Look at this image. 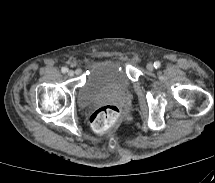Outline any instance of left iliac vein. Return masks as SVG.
I'll list each match as a JSON object with an SVG mask.
<instances>
[{
    "instance_id": "left-iliac-vein-1",
    "label": "left iliac vein",
    "mask_w": 215,
    "mask_h": 183,
    "mask_svg": "<svg viewBox=\"0 0 215 183\" xmlns=\"http://www.w3.org/2000/svg\"><path fill=\"white\" fill-rule=\"evenodd\" d=\"M146 68L147 70L152 71L154 69V65L152 63H148Z\"/></svg>"
}]
</instances>
